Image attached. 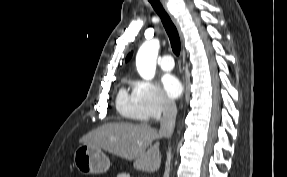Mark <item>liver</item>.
Returning a JSON list of instances; mask_svg holds the SVG:
<instances>
[{
  "label": "liver",
  "instance_id": "obj_1",
  "mask_svg": "<svg viewBox=\"0 0 287 177\" xmlns=\"http://www.w3.org/2000/svg\"><path fill=\"white\" fill-rule=\"evenodd\" d=\"M159 133L148 124L112 122L93 130L80 143L101 148L126 160H134V167L145 172L160 168ZM150 146V148H148Z\"/></svg>",
  "mask_w": 287,
  "mask_h": 177
}]
</instances>
